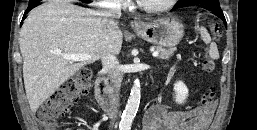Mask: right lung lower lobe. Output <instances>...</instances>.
Returning a JSON list of instances; mask_svg holds the SVG:
<instances>
[{
    "label": "right lung lower lobe",
    "instance_id": "right-lung-lower-lobe-1",
    "mask_svg": "<svg viewBox=\"0 0 257 130\" xmlns=\"http://www.w3.org/2000/svg\"><path fill=\"white\" fill-rule=\"evenodd\" d=\"M38 5V1H34V0H31V2L29 3V6L27 8V10L25 11V14H27L31 9H33L34 7H36ZM25 14L23 16V19L22 21L26 18L25 17Z\"/></svg>",
    "mask_w": 257,
    "mask_h": 130
}]
</instances>
